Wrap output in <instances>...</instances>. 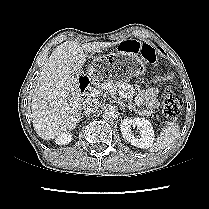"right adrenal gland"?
Masks as SVG:
<instances>
[{"label": "right adrenal gland", "mask_w": 209, "mask_h": 209, "mask_svg": "<svg viewBox=\"0 0 209 209\" xmlns=\"http://www.w3.org/2000/svg\"><path fill=\"white\" fill-rule=\"evenodd\" d=\"M83 116H89V114H87V113H82V114H81V117H80V120H81V118H83Z\"/></svg>", "instance_id": "1"}]
</instances>
